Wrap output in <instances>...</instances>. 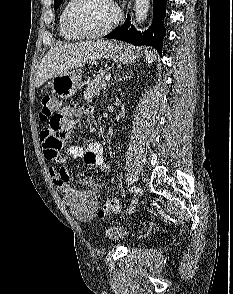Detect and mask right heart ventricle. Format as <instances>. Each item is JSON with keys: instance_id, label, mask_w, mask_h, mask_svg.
Segmentation results:
<instances>
[{"instance_id": "obj_1", "label": "right heart ventricle", "mask_w": 233, "mask_h": 294, "mask_svg": "<svg viewBox=\"0 0 233 294\" xmlns=\"http://www.w3.org/2000/svg\"><path fill=\"white\" fill-rule=\"evenodd\" d=\"M69 0L68 2L65 3V5L63 6L60 15H59V22H58V28H59V33L61 35L62 38L66 39V40H77L78 37H76L75 35H73L68 28L66 27L65 24V14H66V10L70 4Z\"/></svg>"}]
</instances>
